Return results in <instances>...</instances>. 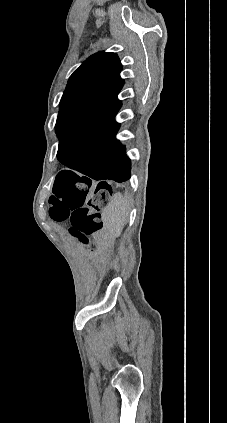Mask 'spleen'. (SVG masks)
I'll use <instances>...</instances> for the list:
<instances>
[{
	"label": "spleen",
	"instance_id": "obj_1",
	"mask_svg": "<svg viewBox=\"0 0 227 423\" xmlns=\"http://www.w3.org/2000/svg\"><path fill=\"white\" fill-rule=\"evenodd\" d=\"M128 206L120 192L112 196L108 206L102 213V219L110 233L118 237L121 235L123 225L126 221Z\"/></svg>",
	"mask_w": 227,
	"mask_h": 423
}]
</instances>
